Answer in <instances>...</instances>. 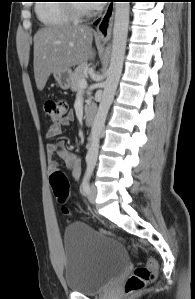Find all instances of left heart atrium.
Instances as JSON below:
<instances>
[{"label": "left heart atrium", "instance_id": "left-heart-atrium-1", "mask_svg": "<svg viewBox=\"0 0 195 299\" xmlns=\"http://www.w3.org/2000/svg\"><path fill=\"white\" fill-rule=\"evenodd\" d=\"M92 3L89 4L91 7H99L102 6L104 2H100V0H92Z\"/></svg>", "mask_w": 195, "mask_h": 299}]
</instances>
